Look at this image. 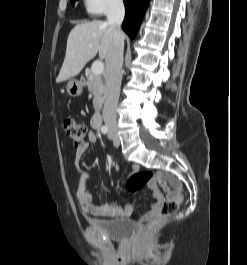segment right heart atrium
Here are the masks:
<instances>
[{"mask_svg": "<svg viewBox=\"0 0 247 265\" xmlns=\"http://www.w3.org/2000/svg\"><path fill=\"white\" fill-rule=\"evenodd\" d=\"M86 10L93 15L114 12L122 6V0H84Z\"/></svg>", "mask_w": 247, "mask_h": 265, "instance_id": "d8ad5b80", "label": "right heart atrium"}]
</instances>
